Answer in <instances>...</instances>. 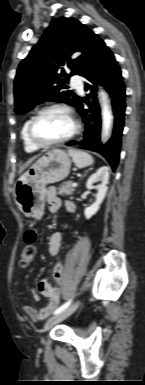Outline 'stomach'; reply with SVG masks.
<instances>
[{"label":"stomach","mask_w":145,"mask_h":385,"mask_svg":"<svg viewBox=\"0 0 145 385\" xmlns=\"http://www.w3.org/2000/svg\"><path fill=\"white\" fill-rule=\"evenodd\" d=\"M71 160L61 149L48 151L17 181L15 203L27 217L41 219L44 214L46 185L64 180L70 172Z\"/></svg>","instance_id":"obj_1"}]
</instances>
